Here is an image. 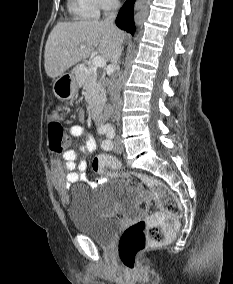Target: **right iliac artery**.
I'll return each mask as SVG.
<instances>
[{
	"mask_svg": "<svg viewBox=\"0 0 233 284\" xmlns=\"http://www.w3.org/2000/svg\"><path fill=\"white\" fill-rule=\"evenodd\" d=\"M107 130H108V129H107V127H105V126L98 129V131H99L100 134H101V133H102V134L105 133Z\"/></svg>",
	"mask_w": 233,
	"mask_h": 284,
	"instance_id": "obj_1",
	"label": "right iliac artery"
}]
</instances>
